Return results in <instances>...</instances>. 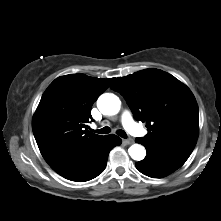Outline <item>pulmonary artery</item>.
Returning a JSON list of instances; mask_svg holds the SVG:
<instances>
[{
    "mask_svg": "<svg viewBox=\"0 0 221 221\" xmlns=\"http://www.w3.org/2000/svg\"><path fill=\"white\" fill-rule=\"evenodd\" d=\"M121 122L124 128L133 136H143L145 131L134 122L131 114L128 111H125L121 116Z\"/></svg>",
    "mask_w": 221,
    "mask_h": 221,
    "instance_id": "1",
    "label": "pulmonary artery"
}]
</instances>
